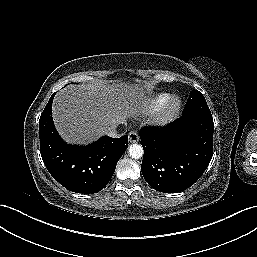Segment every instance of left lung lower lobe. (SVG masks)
Returning <instances> with one entry per match:
<instances>
[{
  "instance_id": "0a47b994",
  "label": "left lung lower lobe",
  "mask_w": 257,
  "mask_h": 257,
  "mask_svg": "<svg viewBox=\"0 0 257 257\" xmlns=\"http://www.w3.org/2000/svg\"><path fill=\"white\" fill-rule=\"evenodd\" d=\"M212 115H183L164 127L140 131L145 181L165 193L191 187L204 173L213 156Z\"/></svg>"
}]
</instances>
